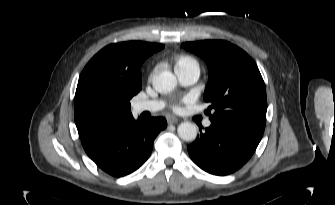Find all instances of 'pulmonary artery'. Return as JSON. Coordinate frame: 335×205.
Returning <instances> with one entry per match:
<instances>
[{"mask_svg":"<svg viewBox=\"0 0 335 205\" xmlns=\"http://www.w3.org/2000/svg\"><path fill=\"white\" fill-rule=\"evenodd\" d=\"M175 73L183 85H191L195 83L200 75V69L196 66H190L181 69H175ZM164 107L162 101L152 100V101H141L135 105V111L137 113L141 112H157ZM211 125L210 120H205L204 126L209 127Z\"/></svg>","mask_w":335,"mask_h":205,"instance_id":"obj_1","label":"pulmonary artery"}]
</instances>
